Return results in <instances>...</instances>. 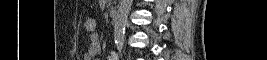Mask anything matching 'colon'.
<instances>
[{
  "instance_id": "5ec220e1",
  "label": "colon",
  "mask_w": 267,
  "mask_h": 60,
  "mask_svg": "<svg viewBox=\"0 0 267 60\" xmlns=\"http://www.w3.org/2000/svg\"><path fill=\"white\" fill-rule=\"evenodd\" d=\"M97 21L93 16L87 15L84 20V29L87 34H92L97 29Z\"/></svg>"
}]
</instances>
